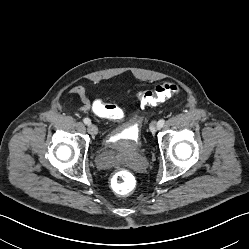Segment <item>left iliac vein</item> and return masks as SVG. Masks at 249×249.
<instances>
[{
	"label": "left iliac vein",
	"mask_w": 249,
	"mask_h": 249,
	"mask_svg": "<svg viewBox=\"0 0 249 249\" xmlns=\"http://www.w3.org/2000/svg\"><path fill=\"white\" fill-rule=\"evenodd\" d=\"M157 128H158L157 123L155 121L151 122V124H150V131L152 133H155L156 130H157Z\"/></svg>",
	"instance_id": "4c4485c4"
}]
</instances>
